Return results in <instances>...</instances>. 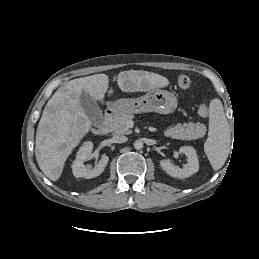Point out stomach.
<instances>
[{
  "label": "stomach",
  "instance_id": "0dacf381",
  "mask_svg": "<svg viewBox=\"0 0 259 259\" xmlns=\"http://www.w3.org/2000/svg\"><path fill=\"white\" fill-rule=\"evenodd\" d=\"M116 115L156 112L170 114L177 108L176 96L162 89H153L139 98H123L111 105Z\"/></svg>",
  "mask_w": 259,
  "mask_h": 259
}]
</instances>
